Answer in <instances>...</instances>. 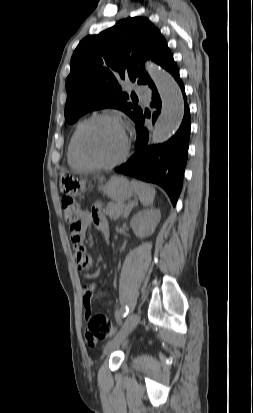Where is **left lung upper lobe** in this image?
Returning a JSON list of instances; mask_svg holds the SVG:
<instances>
[{"label":"left lung upper lobe","mask_w":253,"mask_h":413,"mask_svg":"<svg viewBox=\"0 0 253 413\" xmlns=\"http://www.w3.org/2000/svg\"><path fill=\"white\" fill-rule=\"evenodd\" d=\"M171 56L166 40L145 17H129L98 35L85 37L70 62L66 122L72 124L90 111L108 107L122 110L135 122L142 109L128 102L130 96L122 91L120 82L152 85L142 58L165 68Z\"/></svg>","instance_id":"1"}]
</instances>
